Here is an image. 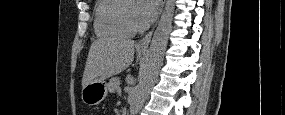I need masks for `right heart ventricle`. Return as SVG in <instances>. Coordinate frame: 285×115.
<instances>
[{"label": "right heart ventricle", "mask_w": 285, "mask_h": 115, "mask_svg": "<svg viewBox=\"0 0 285 115\" xmlns=\"http://www.w3.org/2000/svg\"><path fill=\"white\" fill-rule=\"evenodd\" d=\"M124 0H100L94 11V30L97 36L104 38H122L131 32L122 22L121 9Z\"/></svg>", "instance_id": "obj_1"}]
</instances>
